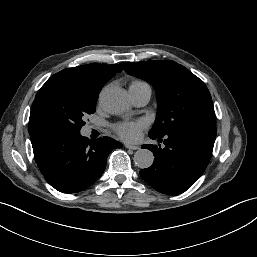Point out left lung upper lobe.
I'll return each mask as SVG.
<instances>
[{"label":"left lung upper lobe","instance_id":"left-lung-upper-lobe-1","mask_svg":"<svg viewBox=\"0 0 257 257\" xmlns=\"http://www.w3.org/2000/svg\"><path fill=\"white\" fill-rule=\"evenodd\" d=\"M125 71L156 90L159 114L151 135L163 136L187 126L215 124L208 88L184 66L165 60L127 62Z\"/></svg>","mask_w":257,"mask_h":257}]
</instances>
